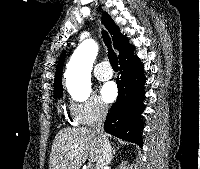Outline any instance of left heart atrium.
<instances>
[{"mask_svg": "<svg viewBox=\"0 0 200 169\" xmlns=\"http://www.w3.org/2000/svg\"><path fill=\"white\" fill-rule=\"evenodd\" d=\"M102 98L106 102H112L117 97V88L113 82H108L104 84L101 88Z\"/></svg>", "mask_w": 200, "mask_h": 169, "instance_id": "left-heart-atrium-1", "label": "left heart atrium"}]
</instances>
